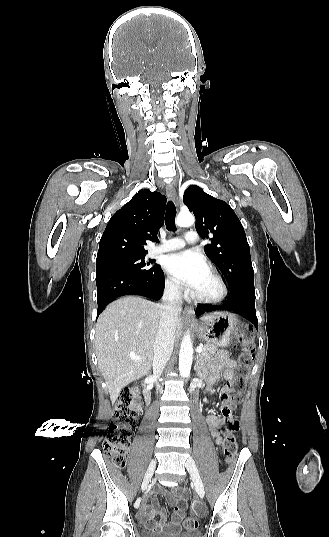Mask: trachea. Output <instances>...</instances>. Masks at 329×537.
I'll list each match as a JSON object with an SVG mask.
<instances>
[{
    "label": "trachea",
    "instance_id": "obj_1",
    "mask_svg": "<svg viewBox=\"0 0 329 537\" xmlns=\"http://www.w3.org/2000/svg\"><path fill=\"white\" fill-rule=\"evenodd\" d=\"M176 207L172 201H169L166 208L165 224L168 231L174 230Z\"/></svg>",
    "mask_w": 329,
    "mask_h": 537
}]
</instances>
